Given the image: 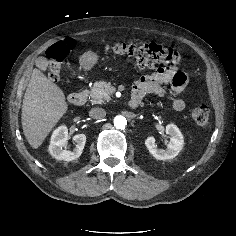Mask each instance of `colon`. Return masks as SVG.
Masks as SVG:
<instances>
[{
    "label": "colon",
    "instance_id": "5ec220e1",
    "mask_svg": "<svg viewBox=\"0 0 236 236\" xmlns=\"http://www.w3.org/2000/svg\"><path fill=\"white\" fill-rule=\"evenodd\" d=\"M74 46V41L64 40L48 49V73L52 80L58 81L60 79L62 64ZM105 49L116 56L135 61L140 67H152L156 64L169 66L184 64L181 55L175 49L156 43H115L106 45ZM191 115L195 123L201 127L210 124V110L205 105L194 107Z\"/></svg>",
    "mask_w": 236,
    "mask_h": 236
}]
</instances>
